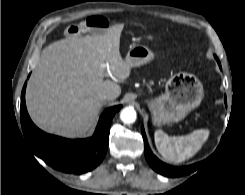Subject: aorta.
<instances>
[{"instance_id":"1","label":"aorta","mask_w":245,"mask_h":195,"mask_svg":"<svg viewBox=\"0 0 245 195\" xmlns=\"http://www.w3.org/2000/svg\"><path fill=\"white\" fill-rule=\"evenodd\" d=\"M120 118L125 124H131L136 121L137 114L133 108L126 107L125 109L122 110L120 114Z\"/></svg>"}]
</instances>
